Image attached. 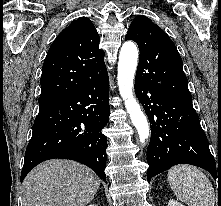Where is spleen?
I'll use <instances>...</instances> for the list:
<instances>
[{
  "label": "spleen",
  "instance_id": "3e777b00",
  "mask_svg": "<svg viewBox=\"0 0 221 206\" xmlns=\"http://www.w3.org/2000/svg\"><path fill=\"white\" fill-rule=\"evenodd\" d=\"M168 183L176 197L188 206H215L214 188L208 177L196 167H172L168 171Z\"/></svg>",
  "mask_w": 221,
  "mask_h": 206
}]
</instances>
